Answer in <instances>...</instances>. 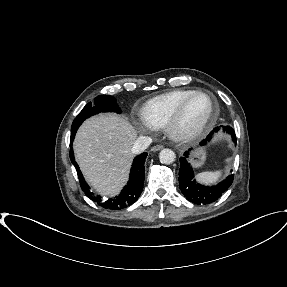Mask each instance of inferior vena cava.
Instances as JSON below:
<instances>
[{"instance_id":"602c4592","label":"inferior vena cava","mask_w":287,"mask_h":287,"mask_svg":"<svg viewBox=\"0 0 287 287\" xmlns=\"http://www.w3.org/2000/svg\"><path fill=\"white\" fill-rule=\"evenodd\" d=\"M152 143L151 137L139 136L132 145L131 152L133 154H139L144 152Z\"/></svg>"}]
</instances>
